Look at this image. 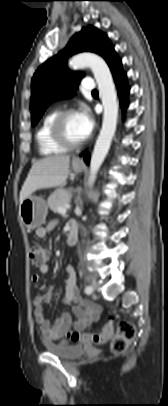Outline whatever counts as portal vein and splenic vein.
I'll list each match as a JSON object with an SVG mask.
<instances>
[{"label":"portal vein and splenic vein","instance_id":"1","mask_svg":"<svg viewBox=\"0 0 168 406\" xmlns=\"http://www.w3.org/2000/svg\"><path fill=\"white\" fill-rule=\"evenodd\" d=\"M69 208H70V205L67 204L64 207H59L58 212L61 214H65L67 212V209H69Z\"/></svg>","mask_w":168,"mask_h":406}]
</instances>
